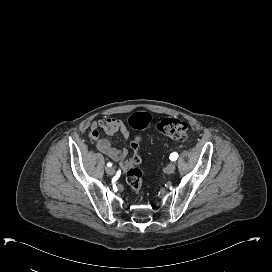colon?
<instances>
[{
	"instance_id": "5ec220e1",
	"label": "colon",
	"mask_w": 272,
	"mask_h": 272,
	"mask_svg": "<svg viewBox=\"0 0 272 272\" xmlns=\"http://www.w3.org/2000/svg\"><path fill=\"white\" fill-rule=\"evenodd\" d=\"M151 119L147 114H133L129 117L128 123L134 130H144L150 125ZM156 128L163 135L179 141H186L188 139V124L180 119L173 117H166L160 120ZM139 143V138L135 137L130 145ZM126 181L130 188L139 194L142 185V173L139 168L132 166L126 175Z\"/></svg>"
}]
</instances>
